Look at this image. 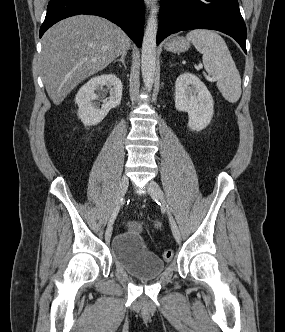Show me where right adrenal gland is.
Instances as JSON below:
<instances>
[{
	"label": "right adrenal gland",
	"instance_id": "1",
	"mask_svg": "<svg viewBox=\"0 0 285 332\" xmlns=\"http://www.w3.org/2000/svg\"><path fill=\"white\" fill-rule=\"evenodd\" d=\"M127 53H124L121 55L120 59L115 60V62L119 61L123 64L124 68L126 69V65H125V57H126Z\"/></svg>",
	"mask_w": 285,
	"mask_h": 332
}]
</instances>
